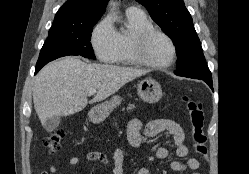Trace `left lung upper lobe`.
Returning <instances> with one entry per match:
<instances>
[{
    "mask_svg": "<svg viewBox=\"0 0 249 174\" xmlns=\"http://www.w3.org/2000/svg\"><path fill=\"white\" fill-rule=\"evenodd\" d=\"M148 10L151 18L170 37L176 47L178 76L210 78L200 40L183 0H136Z\"/></svg>",
    "mask_w": 249,
    "mask_h": 174,
    "instance_id": "5c2ea615",
    "label": "left lung upper lobe"
}]
</instances>
